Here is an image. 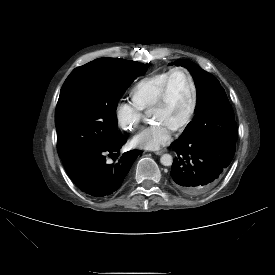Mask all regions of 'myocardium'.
<instances>
[{"mask_svg": "<svg viewBox=\"0 0 275 275\" xmlns=\"http://www.w3.org/2000/svg\"><path fill=\"white\" fill-rule=\"evenodd\" d=\"M177 72H182L187 76L189 84H190V88H191V94H192L191 105H190L187 116L179 125H177L174 128L175 131H182L192 122L195 112H196V109H197V104H198L197 86H196L195 80H194L191 72L188 69L178 66V67L172 68L169 71V73L160 89L158 97H157L155 103L153 104L151 110L160 108L166 103L171 77L173 76V74H175Z\"/></svg>", "mask_w": 275, "mask_h": 275, "instance_id": "obj_1", "label": "myocardium"}]
</instances>
